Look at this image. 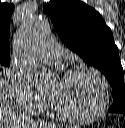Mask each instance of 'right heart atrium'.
I'll list each match as a JSON object with an SVG mask.
<instances>
[{
    "instance_id": "right-heart-atrium-1",
    "label": "right heart atrium",
    "mask_w": 125,
    "mask_h": 128,
    "mask_svg": "<svg viewBox=\"0 0 125 128\" xmlns=\"http://www.w3.org/2000/svg\"><path fill=\"white\" fill-rule=\"evenodd\" d=\"M9 80L15 106L21 112L35 115L49 103L47 98L38 92L23 74L11 71Z\"/></svg>"
}]
</instances>
